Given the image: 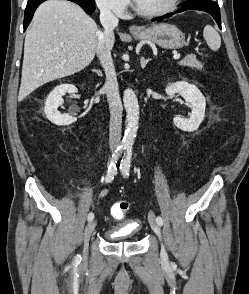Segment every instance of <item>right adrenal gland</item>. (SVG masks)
<instances>
[{
  "instance_id": "1",
  "label": "right adrenal gland",
  "mask_w": 249,
  "mask_h": 294,
  "mask_svg": "<svg viewBox=\"0 0 249 294\" xmlns=\"http://www.w3.org/2000/svg\"><path fill=\"white\" fill-rule=\"evenodd\" d=\"M93 71L96 72V73L99 74V75L102 73L100 70H95V69H94Z\"/></svg>"
}]
</instances>
